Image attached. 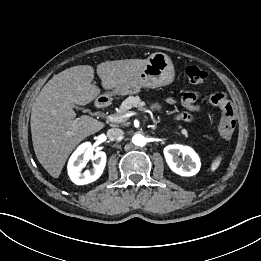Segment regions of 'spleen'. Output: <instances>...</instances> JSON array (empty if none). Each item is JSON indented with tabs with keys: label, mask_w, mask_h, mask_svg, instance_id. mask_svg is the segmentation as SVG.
<instances>
[{
	"label": "spleen",
	"mask_w": 261,
	"mask_h": 261,
	"mask_svg": "<svg viewBox=\"0 0 261 261\" xmlns=\"http://www.w3.org/2000/svg\"><path fill=\"white\" fill-rule=\"evenodd\" d=\"M222 160V156H218L216 157L213 161H212V164H211V171H215L219 165H220V162Z\"/></svg>",
	"instance_id": "spleen-1"
}]
</instances>
